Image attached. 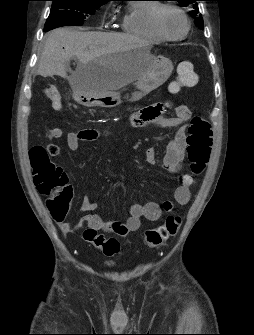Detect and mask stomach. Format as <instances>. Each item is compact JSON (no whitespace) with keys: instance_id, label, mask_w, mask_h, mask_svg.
Returning a JSON list of instances; mask_svg holds the SVG:
<instances>
[{"instance_id":"obj_1","label":"stomach","mask_w":254,"mask_h":335,"mask_svg":"<svg viewBox=\"0 0 254 335\" xmlns=\"http://www.w3.org/2000/svg\"><path fill=\"white\" fill-rule=\"evenodd\" d=\"M143 58L150 59L151 66L144 75L135 80L134 85L136 90L127 97L128 101L135 102L161 86L169 78L173 70V64L170 59L163 56L151 55L149 48L139 46L112 57L90 62L87 67L98 72L113 64L133 62ZM73 98L79 104L86 107L113 108L122 103L119 92H106L90 83L73 89Z\"/></svg>"}]
</instances>
